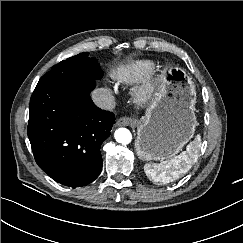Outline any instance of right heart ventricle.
Returning <instances> with one entry per match:
<instances>
[{"instance_id":"obj_1","label":"right heart ventricle","mask_w":243,"mask_h":243,"mask_svg":"<svg viewBox=\"0 0 243 243\" xmlns=\"http://www.w3.org/2000/svg\"><path fill=\"white\" fill-rule=\"evenodd\" d=\"M154 64L150 60L138 61L118 68L114 77L119 83H133L150 74Z\"/></svg>"}]
</instances>
